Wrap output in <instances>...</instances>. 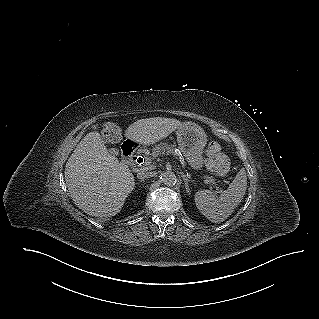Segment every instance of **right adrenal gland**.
Masks as SVG:
<instances>
[{
  "label": "right adrenal gland",
  "mask_w": 319,
  "mask_h": 319,
  "mask_svg": "<svg viewBox=\"0 0 319 319\" xmlns=\"http://www.w3.org/2000/svg\"><path fill=\"white\" fill-rule=\"evenodd\" d=\"M140 182L144 181L143 179L139 180Z\"/></svg>",
  "instance_id": "1"
}]
</instances>
